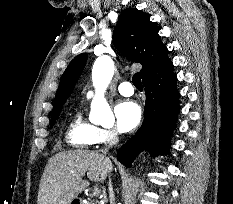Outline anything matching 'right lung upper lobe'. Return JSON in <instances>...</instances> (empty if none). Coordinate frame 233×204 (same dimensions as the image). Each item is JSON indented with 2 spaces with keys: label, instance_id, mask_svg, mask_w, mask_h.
<instances>
[{
  "label": "right lung upper lobe",
  "instance_id": "cb5924a9",
  "mask_svg": "<svg viewBox=\"0 0 233 204\" xmlns=\"http://www.w3.org/2000/svg\"><path fill=\"white\" fill-rule=\"evenodd\" d=\"M113 43L122 55L142 64V79L171 63L168 49L162 44L155 23L150 21L147 14L136 8H127L119 15L113 31ZM86 60L87 54L82 53L76 56L65 70L55 96L52 118L59 116Z\"/></svg>",
  "mask_w": 233,
  "mask_h": 204
}]
</instances>
